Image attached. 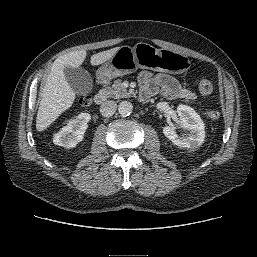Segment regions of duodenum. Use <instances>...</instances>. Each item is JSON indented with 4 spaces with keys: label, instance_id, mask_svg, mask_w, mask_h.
Listing matches in <instances>:
<instances>
[{
    "label": "duodenum",
    "instance_id": "duodenum-1",
    "mask_svg": "<svg viewBox=\"0 0 257 257\" xmlns=\"http://www.w3.org/2000/svg\"><path fill=\"white\" fill-rule=\"evenodd\" d=\"M108 80L107 79H102L100 81V85L102 87H104L106 84H107ZM108 97V93L106 90L102 89L101 91H99L95 97H94V102L97 104V105H102L106 99Z\"/></svg>",
    "mask_w": 257,
    "mask_h": 257
}]
</instances>
